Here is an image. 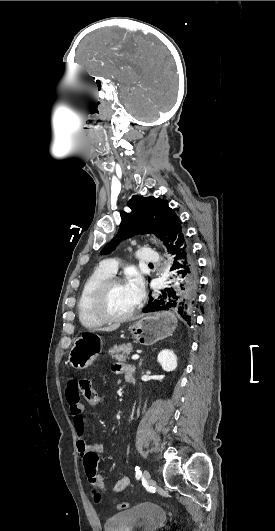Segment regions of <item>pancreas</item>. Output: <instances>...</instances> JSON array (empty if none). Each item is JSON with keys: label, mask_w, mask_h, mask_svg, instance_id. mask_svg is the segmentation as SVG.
I'll use <instances>...</instances> for the list:
<instances>
[{"label": "pancreas", "mask_w": 275, "mask_h": 531, "mask_svg": "<svg viewBox=\"0 0 275 531\" xmlns=\"http://www.w3.org/2000/svg\"><path fill=\"white\" fill-rule=\"evenodd\" d=\"M132 345H114L113 349H109V355L116 361H126L127 355L131 353Z\"/></svg>", "instance_id": "obj_1"}]
</instances>
